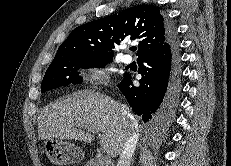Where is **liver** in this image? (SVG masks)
Listing matches in <instances>:
<instances>
[{
    "mask_svg": "<svg viewBox=\"0 0 231 166\" xmlns=\"http://www.w3.org/2000/svg\"><path fill=\"white\" fill-rule=\"evenodd\" d=\"M94 132L103 133L100 145L113 158L120 155L129 136L133 133L140 136L138 122L133 123L117 101L91 90H81L51 103L38 115L41 140L58 138L90 143Z\"/></svg>",
    "mask_w": 231,
    "mask_h": 166,
    "instance_id": "1",
    "label": "liver"
}]
</instances>
